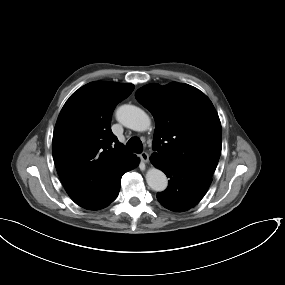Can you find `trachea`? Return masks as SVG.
Here are the masks:
<instances>
[{
    "instance_id": "3493384b",
    "label": "trachea",
    "mask_w": 285,
    "mask_h": 285,
    "mask_svg": "<svg viewBox=\"0 0 285 285\" xmlns=\"http://www.w3.org/2000/svg\"><path fill=\"white\" fill-rule=\"evenodd\" d=\"M143 149V144L141 140L137 137H132L126 144V150L128 152L141 153Z\"/></svg>"
}]
</instances>
